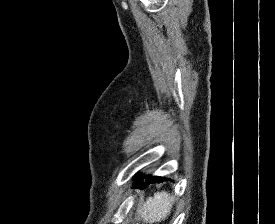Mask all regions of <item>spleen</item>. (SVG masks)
Wrapping results in <instances>:
<instances>
[{
    "label": "spleen",
    "mask_w": 275,
    "mask_h": 224,
    "mask_svg": "<svg viewBox=\"0 0 275 224\" xmlns=\"http://www.w3.org/2000/svg\"><path fill=\"white\" fill-rule=\"evenodd\" d=\"M173 198L169 193L162 191L148 197L138 209V215L149 224L161 222L170 214Z\"/></svg>",
    "instance_id": "1"
}]
</instances>
